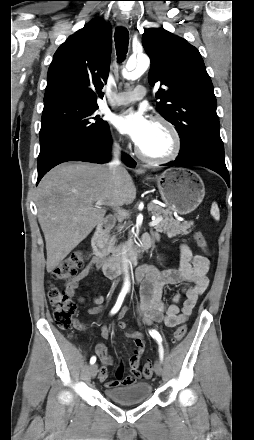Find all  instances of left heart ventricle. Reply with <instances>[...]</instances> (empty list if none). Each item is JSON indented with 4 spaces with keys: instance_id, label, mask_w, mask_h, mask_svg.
<instances>
[{
    "instance_id": "1",
    "label": "left heart ventricle",
    "mask_w": 254,
    "mask_h": 440,
    "mask_svg": "<svg viewBox=\"0 0 254 440\" xmlns=\"http://www.w3.org/2000/svg\"><path fill=\"white\" fill-rule=\"evenodd\" d=\"M139 148L144 154L149 156H165L173 148V137L164 125L153 122L149 135L139 145Z\"/></svg>"
}]
</instances>
